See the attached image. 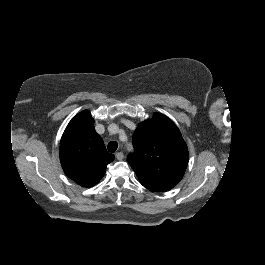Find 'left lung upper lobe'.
<instances>
[{"mask_svg":"<svg viewBox=\"0 0 265 265\" xmlns=\"http://www.w3.org/2000/svg\"><path fill=\"white\" fill-rule=\"evenodd\" d=\"M135 153L127 161L141 184L151 191H168L182 179L188 149L177 126L165 115L138 124L133 134Z\"/></svg>","mask_w":265,"mask_h":265,"instance_id":"left-lung-upper-lobe-1","label":"left lung upper lobe"}]
</instances>
